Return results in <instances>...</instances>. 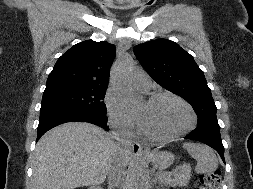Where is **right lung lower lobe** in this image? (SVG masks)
<instances>
[{
    "instance_id": "1",
    "label": "right lung lower lobe",
    "mask_w": 253,
    "mask_h": 189,
    "mask_svg": "<svg viewBox=\"0 0 253 189\" xmlns=\"http://www.w3.org/2000/svg\"><path fill=\"white\" fill-rule=\"evenodd\" d=\"M66 122H89L109 129L105 115L67 109H45L40 111L37 141L46 131Z\"/></svg>"
}]
</instances>
